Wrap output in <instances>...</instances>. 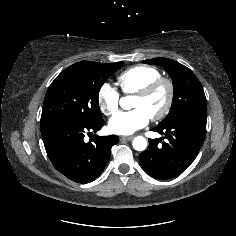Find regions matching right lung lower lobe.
<instances>
[{"label":"right lung lower lobe","instance_id":"obj_1","mask_svg":"<svg viewBox=\"0 0 236 236\" xmlns=\"http://www.w3.org/2000/svg\"><path fill=\"white\" fill-rule=\"evenodd\" d=\"M103 125V119L93 124L58 119L41 126L44 146L53 166L67 178L82 184L96 179L104 170L111 156V147L119 138L94 135L86 143L84 134L88 131L96 133Z\"/></svg>","mask_w":236,"mask_h":236}]
</instances>
